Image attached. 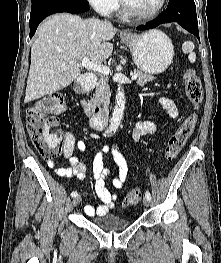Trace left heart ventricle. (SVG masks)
<instances>
[{
	"instance_id": "b2bd125f",
	"label": "left heart ventricle",
	"mask_w": 221,
	"mask_h": 263,
	"mask_svg": "<svg viewBox=\"0 0 221 263\" xmlns=\"http://www.w3.org/2000/svg\"><path fill=\"white\" fill-rule=\"evenodd\" d=\"M129 4L136 10L148 12L155 9L161 0H127Z\"/></svg>"
}]
</instances>
